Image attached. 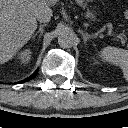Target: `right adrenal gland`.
I'll return each instance as SVG.
<instances>
[{
	"instance_id": "1",
	"label": "right adrenal gland",
	"mask_w": 128,
	"mask_h": 128,
	"mask_svg": "<svg viewBox=\"0 0 128 128\" xmlns=\"http://www.w3.org/2000/svg\"><path fill=\"white\" fill-rule=\"evenodd\" d=\"M47 24H42L39 26V29L37 30V32L32 36V39H34L38 34H39V39L41 38L42 34H43V28L46 26Z\"/></svg>"
}]
</instances>
